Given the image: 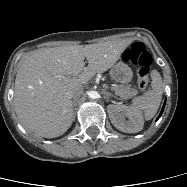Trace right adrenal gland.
Here are the masks:
<instances>
[{"label":"right adrenal gland","mask_w":187,"mask_h":187,"mask_svg":"<svg viewBox=\"0 0 187 187\" xmlns=\"http://www.w3.org/2000/svg\"><path fill=\"white\" fill-rule=\"evenodd\" d=\"M76 101H77V99L75 98L74 100H73V108L75 109V107H76Z\"/></svg>","instance_id":"right-adrenal-gland-1"}]
</instances>
